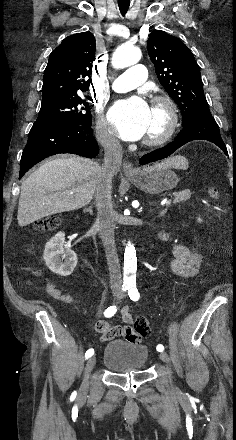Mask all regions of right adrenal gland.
<instances>
[{"label":"right adrenal gland","instance_id":"1","mask_svg":"<svg viewBox=\"0 0 236 440\" xmlns=\"http://www.w3.org/2000/svg\"><path fill=\"white\" fill-rule=\"evenodd\" d=\"M85 211H88L90 214L93 213L92 207L86 208Z\"/></svg>","mask_w":236,"mask_h":440}]
</instances>
